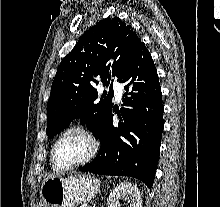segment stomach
Masks as SVG:
<instances>
[{"label": "stomach", "mask_w": 220, "mask_h": 207, "mask_svg": "<svg viewBox=\"0 0 220 207\" xmlns=\"http://www.w3.org/2000/svg\"><path fill=\"white\" fill-rule=\"evenodd\" d=\"M100 190V181L88 174L53 176L44 180L39 207H75L89 201Z\"/></svg>", "instance_id": "stomach-1"}]
</instances>
